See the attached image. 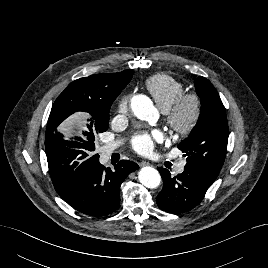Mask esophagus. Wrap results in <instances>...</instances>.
<instances>
[{
	"label": "esophagus",
	"mask_w": 268,
	"mask_h": 268,
	"mask_svg": "<svg viewBox=\"0 0 268 268\" xmlns=\"http://www.w3.org/2000/svg\"><path fill=\"white\" fill-rule=\"evenodd\" d=\"M146 165H150V163L149 162H146V161H141V162H139V166H146Z\"/></svg>",
	"instance_id": "obj_1"
}]
</instances>
